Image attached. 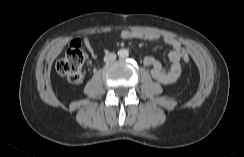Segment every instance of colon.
<instances>
[{"label":"colon","instance_id":"1","mask_svg":"<svg viewBox=\"0 0 244 157\" xmlns=\"http://www.w3.org/2000/svg\"><path fill=\"white\" fill-rule=\"evenodd\" d=\"M84 60L85 56L81 49V43L80 41H75L71 43L64 57L58 60L56 64L57 71L70 82L79 83L84 77ZM182 60L185 63H189L190 56L187 52L183 53Z\"/></svg>","mask_w":244,"mask_h":157}]
</instances>
